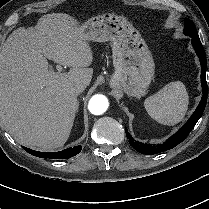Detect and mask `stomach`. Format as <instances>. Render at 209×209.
Returning a JSON list of instances; mask_svg holds the SVG:
<instances>
[{
	"mask_svg": "<svg viewBox=\"0 0 209 209\" xmlns=\"http://www.w3.org/2000/svg\"><path fill=\"white\" fill-rule=\"evenodd\" d=\"M86 41L112 43L115 72L110 86L128 95L141 97L153 79L152 54L138 30L124 17L104 13L80 25Z\"/></svg>",
	"mask_w": 209,
	"mask_h": 209,
	"instance_id": "obj_1",
	"label": "stomach"
}]
</instances>
